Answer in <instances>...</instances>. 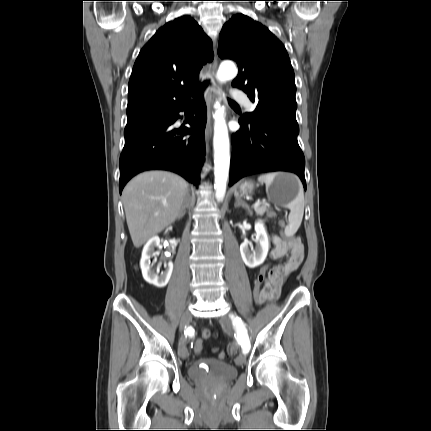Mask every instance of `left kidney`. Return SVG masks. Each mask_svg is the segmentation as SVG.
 I'll return each instance as SVG.
<instances>
[{"label": "left kidney", "instance_id": "1", "mask_svg": "<svg viewBox=\"0 0 431 431\" xmlns=\"http://www.w3.org/2000/svg\"><path fill=\"white\" fill-rule=\"evenodd\" d=\"M255 232V248L248 241L240 245L242 260L249 268H255L263 264L269 251V238L263 222L257 221L255 223Z\"/></svg>", "mask_w": 431, "mask_h": 431}]
</instances>
